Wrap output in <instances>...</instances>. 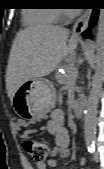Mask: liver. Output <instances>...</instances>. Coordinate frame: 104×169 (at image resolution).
Here are the masks:
<instances>
[{"mask_svg":"<svg viewBox=\"0 0 104 169\" xmlns=\"http://www.w3.org/2000/svg\"><path fill=\"white\" fill-rule=\"evenodd\" d=\"M68 38V29L50 25L28 27L17 34L6 71V89L11 101L24 82L49 75L63 58L74 53L77 37Z\"/></svg>","mask_w":104,"mask_h":169,"instance_id":"6515ba94","label":"liver"}]
</instances>
